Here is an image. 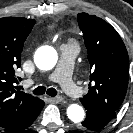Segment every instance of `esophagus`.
Masks as SVG:
<instances>
[{
    "label": "esophagus",
    "mask_w": 133,
    "mask_h": 133,
    "mask_svg": "<svg viewBox=\"0 0 133 133\" xmlns=\"http://www.w3.org/2000/svg\"><path fill=\"white\" fill-rule=\"evenodd\" d=\"M54 101L56 102H62L63 101V97L62 96H55L52 98Z\"/></svg>",
    "instance_id": "34e87169"
}]
</instances>
